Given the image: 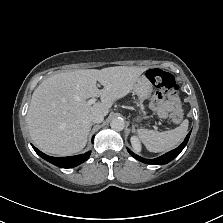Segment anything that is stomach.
Masks as SVG:
<instances>
[{"label":"stomach","mask_w":223,"mask_h":223,"mask_svg":"<svg viewBox=\"0 0 223 223\" xmlns=\"http://www.w3.org/2000/svg\"><path fill=\"white\" fill-rule=\"evenodd\" d=\"M133 90L138 97L149 99L153 92V84L149 78L140 76L134 84ZM137 121H140V117L137 118Z\"/></svg>","instance_id":"stomach-1"}]
</instances>
